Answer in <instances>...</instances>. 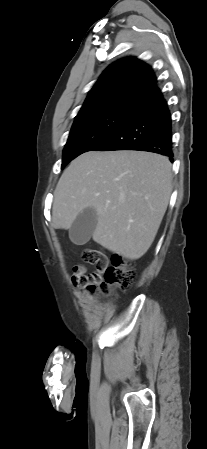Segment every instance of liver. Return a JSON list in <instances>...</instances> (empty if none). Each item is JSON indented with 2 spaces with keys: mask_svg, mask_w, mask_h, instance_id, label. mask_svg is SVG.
<instances>
[{
  "mask_svg": "<svg viewBox=\"0 0 207 449\" xmlns=\"http://www.w3.org/2000/svg\"><path fill=\"white\" fill-rule=\"evenodd\" d=\"M172 191L171 163L142 151H89L63 172L54 192L52 226L70 229L86 208L97 214L93 240L136 260L153 243Z\"/></svg>",
  "mask_w": 207,
  "mask_h": 449,
  "instance_id": "6515ba94",
  "label": "liver"
}]
</instances>
